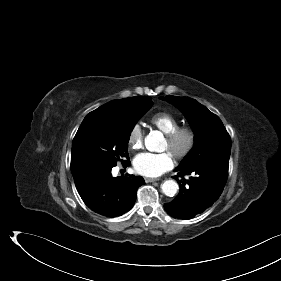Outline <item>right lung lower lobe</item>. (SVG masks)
I'll use <instances>...</instances> for the list:
<instances>
[{"instance_id": "obj_1", "label": "right lung lower lobe", "mask_w": 281, "mask_h": 281, "mask_svg": "<svg viewBox=\"0 0 281 281\" xmlns=\"http://www.w3.org/2000/svg\"><path fill=\"white\" fill-rule=\"evenodd\" d=\"M125 167L129 161L123 163ZM111 165H98L75 171L77 191L84 203L94 212L115 217L129 211L136 200L137 188L145 181L141 176L112 177Z\"/></svg>"}]
</instances>
